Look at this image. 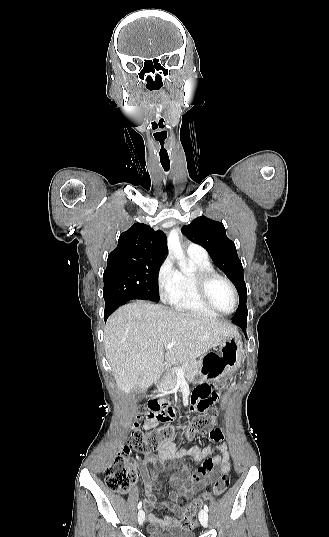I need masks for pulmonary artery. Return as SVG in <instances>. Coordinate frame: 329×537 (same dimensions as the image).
I'll list each match as a JSON object with an SVG mask.
<instances>
[{"label":"pulmonary artery","mask_w":329,"mask_h":537,"mask_svg":"<svg viewBox=\"0 0 329 537\" xmlns=\"http://www.w3.org/2000/svg\"><path fill=\"white\" fill-rule=\"evenodd\" d=\"M186 251L189 256L198 257V258H208L206 250L202 246L195 244V243H190L187 246Z\"/></svg>","instance_id":"obj_1"}]
</instances>
